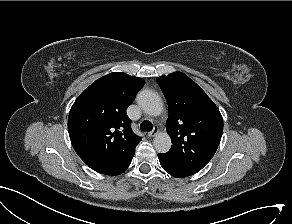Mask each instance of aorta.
Masks as SVG:
<instances>
[{
  "instance_id": "1",
  "label": "aorta",
  "mask_w": 292,
  "mask_h": 224,
  "mask_svg": "<svg viewBox=\"0 0 292 224\" xmlns=\"http://www.w3.org/2000/svg\"><path fill=\"white\" fill-rule=\"evenodd\" d=\"M137 102L141 109L149 115L158 116L162 113L163 102L154 91L142 90L137 96ZM171 144V138L166 132L156 134L153 140L154 148L158 153L168 152Z\"/></svg>"
}]
</instances>
